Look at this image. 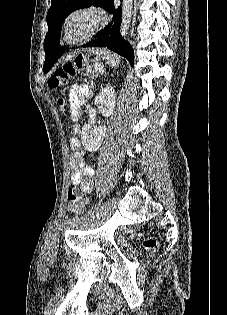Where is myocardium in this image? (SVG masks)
Masks as SVG:
<instances>
[{
    "mask_svg": "<svg viewBox=\"0 0 227 315\" xmlns=\"http://www.w3.org/2000/svg\"><path fill=\"white\" fill-rule=\"evenodd\" d=\"M87 17L91 22L84 28L76 29L74 21ZM102 12L93 6H81L72 9L63 19L59 32V42L65 46L76 45L93 37L104 25Z\"/></svg>",
    "mask_w": 227,
    "mask_h": 315,
    "instance_id": "f54148a6",
    "label": "myocardium"
}]
</instances>
